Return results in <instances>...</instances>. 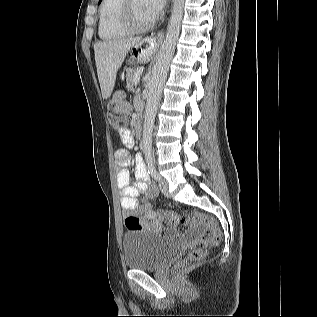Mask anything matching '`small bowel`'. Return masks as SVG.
Here are the masks:
<instances>
[{"label": "small bowel", "instance_id": "obj_1", "mask_svg": "<svg viewBox=\"0 0 317 317\" xmlns=\"http://www.w3.org/2000/svg\"><path fill=\"white\" fill-rule=\"evenodd\" d=\"M120 138L126 148H131L134 144L132 133L127 128L122 127L119 130ZM115 162L118 166L117 186L121 193V208L124 215H141L145 220L150 221L152 225L158 222L157 215L147 200H139V194L147 192L151 198L158 194L157 189L150 184L145 164L140 156L136 157L135 178L133 185L130 184L129 166L131 162L130 155L126 149H119L115 152ZM167 234L170 237H176L177 232L172 227L168 228ZM196 237V231L190 230L185 238L192 240Z\"/></svg>", "mask_w": 317, "mask_h": 317}]
</instances>
